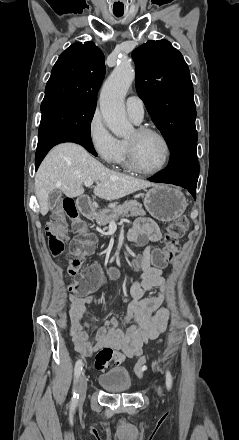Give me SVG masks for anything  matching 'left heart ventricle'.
I'll return each mask as SVG.
<instances>
[{
	"mask_svg": "<svg viewBox=\"0 0 239 440\" xmlns=\"http://www.w3.org/2000/svg\"><path fill=\"white\" fill-rule=\"evenodd\" d=\"M127 141L136 151L139 164L146 170L160 168L166 157V150L162 140L152 134L140 135L134 130Z\"/></svg>",
	"mask_w": 239,
	"mask_h": 440,
	"instance_id": "left-heart-ventricle-1",
	"label": "left heart ventricle"
}]
</instances>
